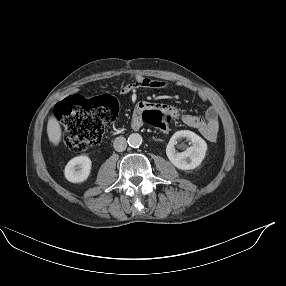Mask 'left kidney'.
<instances>
[{"label": "left kidney", "instance_id": "left-kidney-1", "mask_svg": "<svg viewBox=\"0 0 286 286\" xmlns=\"http://www.w3.org/2000/svg\"><path fill=\"white\" fill-rule=\"evenodd\" d=\"M181 138L189 140L191 146L183 152H176L175 145ZM206 151V142L196 133L189 130H181L174 133L166 147L167 157L176 168L181 170H191L198 167L205 158Z\"/></svg>", "mask_w": 286, "mask_h": 286}]
</instances>
